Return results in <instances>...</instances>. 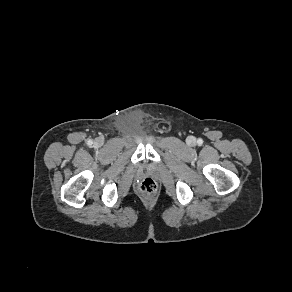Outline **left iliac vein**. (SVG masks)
Wrapping results in <instances>:
<instances>
[{
    "instance_id": "1",
    "label": "left iliac vein",
    "mask_w": 292,
    "mask_h": 292,
    "mask_svg": "<svg viewBox=\"0 0 292 292\" xmlns=\"http://www.w3.org/2000/svg\"><path fill=\"white\" fill-rule=\"evenodd\" d=\"M194 142H195V139H194V138H190V139H189V143H190V144H194Z\"/></svg>"
}]
</instances>
